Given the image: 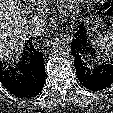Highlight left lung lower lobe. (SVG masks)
I'll use <instances>...</instances> for the list:
<instances>
[{
    "label": "left lung lower lobe",
    "mask_w": 113,
    "mask_h": 113,
    "mask_svg": "<svg viewBox=\"0 0 113 113\" xmlns=\"http://www.w3.org/2000/svg\"><path fill=\"white\" fill-rule=\"evenodd\" d=\"M71 50L74 56L76 74L80 83L87 89L98 91L113 84V57L111 61L94 64L91 56H86L94 50L90 47L87 30L81 25L71 43ZM85 54V55H84Z\"/></svg>",
    "instance_id": "1"
}]
</instances>
